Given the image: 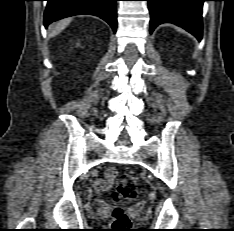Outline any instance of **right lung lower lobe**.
<instances>
[{
  "label": "right lung lower lobe",
  "instance_id": "1",
  "mask_svg": "<svg viewBox=\"0 0 234 231\" xmlns=\"http://www.w3.org/2000/svg\"><path fill=\"white\" fill-rule=\"evenodd\" d=\"M117 0H47L44 14V25L48 26L56 20L79 15L90 14L104 19L116 32Z\"/></svg>",
  "mask_w": 234,
  "mask_h": 231
}]
</instances>
